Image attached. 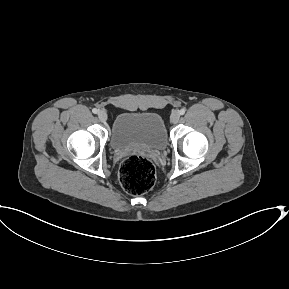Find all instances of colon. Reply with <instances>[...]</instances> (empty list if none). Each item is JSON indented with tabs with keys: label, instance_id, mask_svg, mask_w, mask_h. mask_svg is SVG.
<instances>
[{
	"label": "colon",
	"instance_id": "5ec220e1",
	"mask_svg": "<svg viewBox=\"0 0 289 289\" xmlns=\"http://www.w3.org/2000/svg\"><path fill=\"white\" fill-rule=\"evenodd\" d=\"M155 178L154 165L149 159L141 155L127 157L119 172L121 187L133 195H140L149 191L155 183Z\"/></svg>",
	"mask_w": 289,
	"mask_h": 289
}]
</instances>
